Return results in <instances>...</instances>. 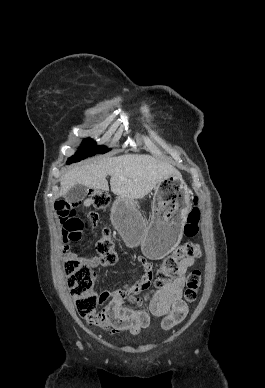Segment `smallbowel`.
Segmentation results:
<instances>
[{
	"label": "small bowel",
	"instance_id": "small-bowel-1",
	"mask_svg": "<svg viewBox=\"0 0 265 388\" xmlns=\"http://www.w3.org/2000/svg\"><path fill=\"white\" fill-rule=\"evenodd\" d=\"M83 206L89 207V199L83 201ZM89 217L96 222L98 216L94 212L89 213ZM66 258L74 256L64 248ZM81 261L91 267L99 264L97 257L81 259ZM143 273L140 279L130 287V293H139L148 288L153 279V263L144 257H138ZM196 262L195 258L185 259L180 262L176 277L167 286L157 290L150 301V313L145 310L130 309L125 306V299L128 293L125 290H116L113 292L103 291L100 294V304L109 301L101 310L104 315V321L99 325L110 333L129 332L132 335L139 334L142 330L151 326L150 314L162 317L161 326L164 329H170L177 325L186 317L188 307L182 300L183 289L186 281V274L190 267Z\"/></svg>",
	"mask_w": 265,
	"mask_h": 388
}]
</instances>
